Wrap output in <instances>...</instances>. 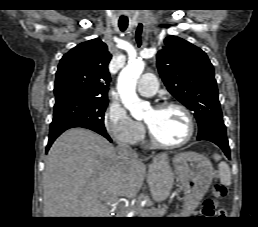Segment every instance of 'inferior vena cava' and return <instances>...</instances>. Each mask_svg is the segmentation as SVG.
Here are the masks:
<instances>
[{"instance_id": "obj_1", "label": "inferior vena cava", "mask_w": 258, "mask_h": 227, "mask_svg": "<svg viewBox=\"0 0 258 227\" xmlns=\"http://www.w3.org/2000/svg\"><path fill=\"white\" fill-rule=\"evenodd\" d=\"M117 150L119 156L123 157L124 159L137 158V153L128 144L120 143Z\"/></svg>"}]
</instances>
